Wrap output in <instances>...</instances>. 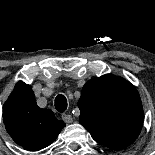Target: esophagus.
I'll list each match as a JSON object with an SVG mask.
<instances>
[{
  "mask_svg": "<svg viewBox=\"0 0 155 155\" xmlns=\"http://www.w3.org/2000/svg\"><path fill=\"white\" fill-rule=\"evenodd\" d=\"M62 119L66 123H72L73 122L72 116L69 114H63Z\"/></svg>",
  "mask_w": 155,
  "mask_h": 155,
  "instance_id": "1",
  "label": "esophagus"
}]
</instances>
